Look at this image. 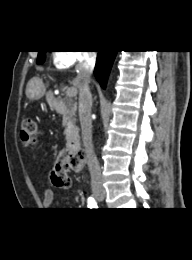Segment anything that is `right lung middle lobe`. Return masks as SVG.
Instances as JSON below:
<instances>
[{"label": "right lung middle lobe", "instance_id": "right-lung-middle-lobe-1", "mask_svg": "<svg viewBox=\"0 0 192 260\" xmlns=\"http://www.w3.org/2000/svg\"><path fill=\"white\" fill-rule=\"evenodd\" d=\"M46 51H40L37 58V64H42L45 61Z\"/></svg>", "mask_w": 192, "mask_h": 260}]
</instances>
